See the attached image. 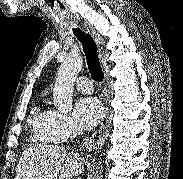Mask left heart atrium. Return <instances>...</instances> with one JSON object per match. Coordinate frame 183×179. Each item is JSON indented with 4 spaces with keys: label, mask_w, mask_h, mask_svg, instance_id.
Segmentation results:
<instances>
[{
    "label": "left heart atrium",
    "mask_w": 183,
    "mask_h": 179,
    "mask_svg": "<svg viewBox=\"0 0 183 179\" xmlns=\"http://www.w3.org/2000/svg\"><path fill=\"white\" fill-rule=\"evenodd\" d=\"M103 107L94 97L80 98L74 107L76 123L85 130L94 128L103 117Z\"/></svg>",
    "instance_id": "left-heart-atrium-1"
}]
</instances>
